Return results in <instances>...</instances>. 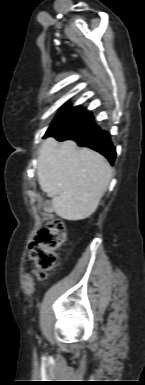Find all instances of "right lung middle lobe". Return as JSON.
<instances>
[{"label": "right lung middle lobe", "instance_id": "1", "mask_svg": "<svg viewBox=\"0 0 145 385\" xmlns=\"http://www.w3.org/2000/svg\"><path fill=\"white\" fill-rule=\"evenodd\" d=\"M85 110L78 107H69L63 112H61L57 118L52 122L50 127L48 128L45 137L54 136L61 131L69 128L73 125L77 120H79L84 114Z\"/></svg>", "mask_w": 145, "mask_h": 385}]
</instances>
